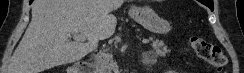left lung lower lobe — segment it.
Instances as JSON below:
<instances>
[{
	"mask_svg": "<svg viewBox=\"0 0 244 73\" xmlns=\"http://www.w3.org/2000/svg\"><path fill=\"white\" fill-rule=\"evenodd\" d=\"M200 2L206 6H208L212 11L214 7L212 6L213 0H200Z\"/></svg>",
	"mask_w": 244,
	"mask_h": 73,
	"instance_id": "left-lung-lower-lobe-1",
	"label": "left lung lower lobe"
}]
</instances>
